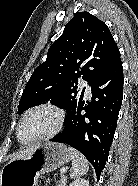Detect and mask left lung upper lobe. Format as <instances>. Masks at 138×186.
Segmentation results:
<instances>
[{
	"label": "left lung upper lobe",
	"instance_id": "1",
	"mask_svg": "<svg viewBox=\"0 0 138 186\" xmlns=\"http://www.w3.org/2000/svg\"><path fill=\"white\" fill-rule=\"evenodd\" d=\"M119 59V49L107 25L88 12H77L50 46L46 61L34 70L18 113L52 99L53 104L66 109V121L83 99L85 89L79 93L77 77L91 85Z\"/></svg>",
	"mask_w": 138,
	"mask_h": 186
}]
</instances>
